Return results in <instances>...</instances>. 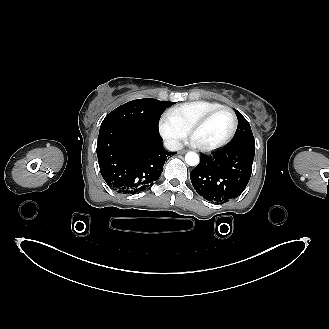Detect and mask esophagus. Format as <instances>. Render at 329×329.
I'll list each match as a JSON object with an SVG mask.
<instances>
[{
  "label": "esophagus",
  "mask_w": 329,
  "mask_h": 329,
  "mask_svg": "<svg viewBox=\"0 0 329 329\" xmlns=\"http://www.w3.org/2000/svg\"><path fill=\"white\" fill-rule=\"evenodd\" d=\"M186 152H187V150H185V149H184V150H181V151H179V153H180V154H185Z\"/></svg>",
  "instance_id": "34e87169"
}]
</instances>
